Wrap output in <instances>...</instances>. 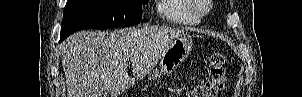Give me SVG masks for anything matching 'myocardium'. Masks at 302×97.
Here are the masks:
<instances>
[{"mask_svg":"<svg viewBox=\"0 0 302 97\" xmlns=\"http://www.w3.org/2000/svg\"><path fill=\"white\" fill-rule=\"evenodd\" d=\"M192 13L198 17L205 16L211 8L210 0H186Z\"/></svg>","mask_w":302,"mask_h":97,"instance_id":"f54148a6","label":"myocardium"}]
</instances>
